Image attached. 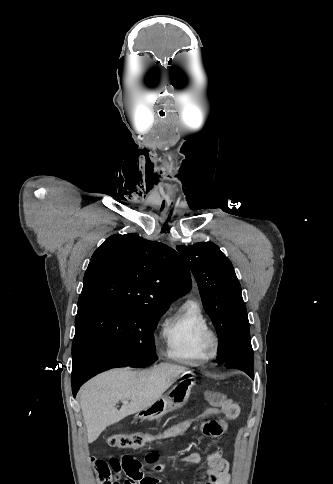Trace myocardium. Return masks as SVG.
Wrapping results in <instances>:
<instances>
[{
  "label": "myocardium",
  "mask_w": 333,
  "mask_h": 484,
  "mask_svg": "<svg viewBox=\"0 0 333 484\" xmlns=\"http://www.w3.org/2000/svg\"><path fill=\"white\" fill-rule=\"evenodd\" d=\"M201 348L208 358L215 357L220 348V338L217 332L208 328L201 338Z\"/></svg>",
  "instance_id": "1"
}]
</instances>
